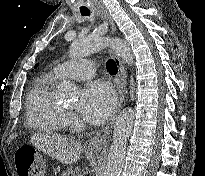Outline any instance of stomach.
<instances>
[{
    "mask_svg": "<svg viewBox=\"0 0 205 176\" xmlns=\"http://www.w3.org/2000/svg\"><path fill=\"white\" fill-rule=\"evenodd\" d=\"M70 174H73V172L72 171H68V172L65 173V176H69Z\"/></svg>",
    "mask_w": 205,
    "mask_h": 176,
    "instance_id": "stomach-1",
    "label": "stomach"
}]
</instances>
